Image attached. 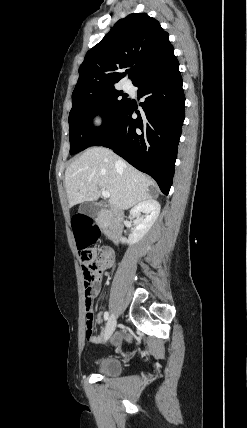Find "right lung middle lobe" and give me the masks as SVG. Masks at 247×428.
<instances>
[{
  "label": "right lung middle lobe",
  "mask_w": 247,
  "mask_h": 428,
  "mask_svg": "<svg viewBox=\"0 0 247 428\" xmlns=\"http://www.w3.org/2000/svg\"><path fill=\"white\" fill-rule=\"evenodd\" d=\"M123 96V98H120ZM73 101L69 114L70 154H76L91 146L120 116L129 99L115 88L80 96ZM99 113L103 124L93 128L91 120Z\"/></svg>",
  "instance_id": "obj_1"
}]
</instances>
